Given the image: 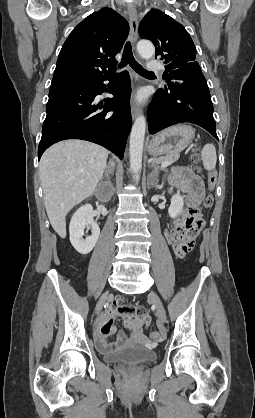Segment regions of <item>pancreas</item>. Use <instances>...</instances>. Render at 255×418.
I'll return each mask as SVG.
<instances>
[{"instance_id": "pancreas-1", "label": "pancreas", "mask_w": 255, "mask_h": 418, "mask_svg": "<svg viewBox=\"0 0 255 418\" xmlns=\"http://www.w3.org/2000/svg\"><path fill=\"white\" fill-rule=\"evenodd\" d=\"M179 156H180L179 154H173V155H166V156H162V157H159V158H155L154 159V164H160V163H163L165 161H169V162L173 163V162L178 160Z\"/></svg>"}]
</instances>
